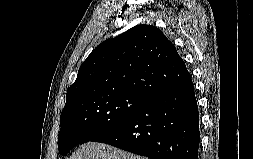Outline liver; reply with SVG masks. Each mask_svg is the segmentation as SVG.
Masks as SVG:
<instances>
[{
    "mask_svg": "<svg viewBox=\"0 0 253 159\" xmlns=\"http://www.w3.org/2000/svg\"><path fill=\"white\" fill-rule=\"evenodd\" d=\"M69 159H148L138 156L116 147L96 143L87 142L81 145Z\"/></svg>",
    "mask_w": 253,
    "mask_h": 159,
    "instance_id": "6515ba94",
    "label": "liver"
}]
</instances>
